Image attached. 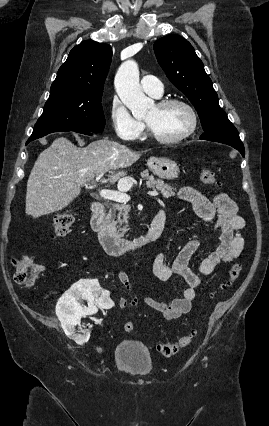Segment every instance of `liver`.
I'll return each instance as SVG.
<instances>
[{
  "instance_id": "liver-1",
  "label": "liver",
  "mask_w": 269,
  "mask_h": 426,
  "mask_svg": "<svg viewBox=\"0 0 269 426\" xmlns=\"http://www.w3.org/2000/svg\"><path fill=\"white\" fill-rule=\"evenodd\" d=\"M138 158L139 153L108 139L78 148L67 138L59 137L40 153L31 170L25 213L38 218L62 210L95 176L112 170L108 181L115 184L126 176L123 169Z\"/></svg>"
}]
</instances>
